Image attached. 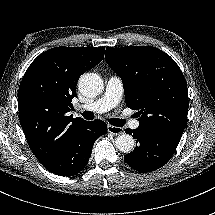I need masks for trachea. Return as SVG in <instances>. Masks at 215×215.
I'll return each instance as SVG.
<instances>
[{"label": "trachea", "mask_w": 215, "mask_h": 215, "mask_svg": "<svg viewBox=\"0 0 215 215\" xmlns=\"http://www.w3.org/2000/svg\"><path fill=\"white\" fill-rule=\"evenodd\" d=\"M82 115L87 120H92L94 118V114L91 111H84ZM126 122V119L112 118L109 120V123L113 126H124Z\"/></svg>", "instance_id": "trachea-1"}]
</instances>
